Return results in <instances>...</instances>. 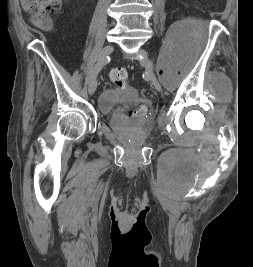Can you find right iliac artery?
Wrapping results in <instances>:
<instances>
[{
  "instance_id": "1",
  "label": "right iliac artery",
  "mask_w": 253,
  "mask_h": 267,
  "mask_svg": "<svg viewBox=\"0 0 253 267\" xmlns=\"http://www.w3.org/2000/svg\"><path fill=\"white\" fill-rule=\"evenodd\" d=\"M109 57L106 58H99L96 65L94 66L90 76H89V82L98 74V72L103 68V66L109 62Z\"/></svg>"
}]
</instances>
